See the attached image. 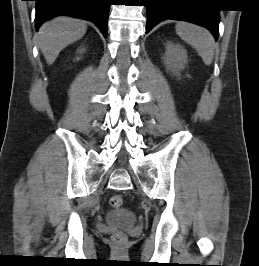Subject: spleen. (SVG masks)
Instances as JSON below:
<instances>
[{"instance_id": "1", "label": "spleen", "mask_w": 259, "mask_h": 266, "mask_svg": "<svg viewBox=\"0 0 259 266\" xmlns=\"http://www.w3.org/2000/svg\"><path fill=\"white\" fill-rule=\"evenodd\" d=\"M176 32L182 40L196 49L205 65L212 63L214 39L208 30L191 23L179 22Z\"/></svg>"}]
</instances>
